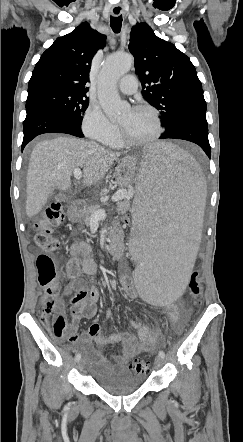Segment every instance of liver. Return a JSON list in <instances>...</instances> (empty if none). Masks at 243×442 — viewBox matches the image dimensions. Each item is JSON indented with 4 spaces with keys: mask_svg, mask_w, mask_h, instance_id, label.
I'll return each mask as SVG.
<instances>
[{
    "mask_svg": "<svg viewBox=\"0 0 243 442\" xmlns=\"http://www.w3.org/2000/svg\"><path fill=\"white\" fill-rule=\"evenodd\" d=\"M121 153L93 141L59 136L38 142L30 157L26 178V214L37 215L54 189L67 190L75 168H83V185L100 182Z\"/></svg>",
    "mask_w": 243,
    "mask_h": 442,
    "instance_id": "6515ba94",
    "label": "liver"
}]
</instances>
